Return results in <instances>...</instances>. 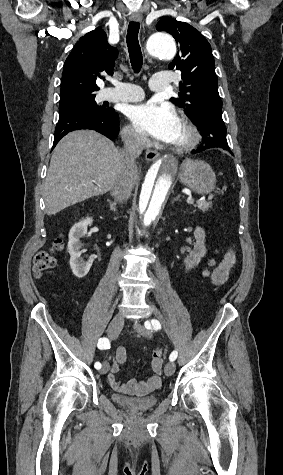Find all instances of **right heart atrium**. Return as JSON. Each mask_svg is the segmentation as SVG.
Returning <instances> with one entry per match:
<instances>
[{"mask_svg": "<svg viewBox=\"0 0 283 475\" xmlns=\"http://www.w3.org/2000/svg\"><path fill=\"white\" fill-rule=\"evenodd\" d=\"M122 138L127 149L132 151L143 150L147 145V140L138 134L132 127L125 126L122 129Z\"/></svg>", "mask_w": 283, "mask_h": 475, "instance_id": "1", "label": "right heart atrium"}]
</instances>
